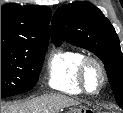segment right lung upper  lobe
Returning a JSON list of instances; mask_svg holds the SVG:
<instances>
[{
	"mask_svg": "<svg viewBox=\"0 0 123 113\" xmlns=\"http://www.w3.org/2000/svg\"><path fill=\"white\" fill-rule=\"evenodd\" d=\"M51 9L46 6H1V43L45 40L50 33Z\"/></svg>",
	"mask_w": 123,
	"mask_h": 113,
	"instance_id": "1",
	"label": "right lung upper lobe"
}]
</instances>
